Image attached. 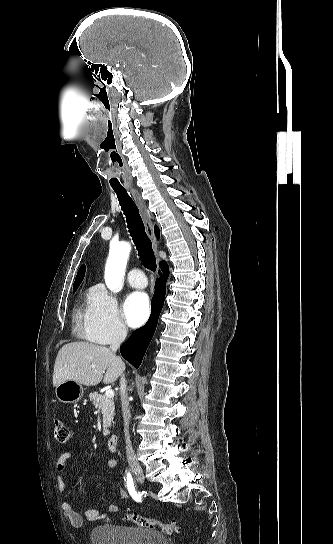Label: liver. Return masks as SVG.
Masks as SVG:
<instances>
[{
  "mask_svg": "<svg viewBox=\"0 0 333 544\" xmlns=\"http://www.w3.org/2000/svg\"><path fill=\"white\" fill-rule=\"evenodd\" d=\"M124 370V362L109 348L84 341L71 342L58 352L54 364L53 386L56 387L66 380H74L86 386H95L102 380L105 384H110Z\"/></svg>",
  "mask_w": 333,
  "mask_h": 544,
  "instance_id": "liver-1",
  "label": "liver"
}]
</instances>
